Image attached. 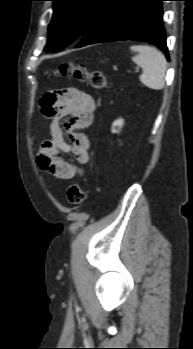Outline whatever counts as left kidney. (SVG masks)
<instances>
[{
	"label": "left kidney",
	"instance_id": "left-kidney-1",
	"mask_svg": "<svg viewBox=\"0 0 193 349\" xmlns=\"http://www.w3.org/2000/svg\"><path fill=\"white\" fill-rule=\"evenodd\" d=\"M123 124L124 121L122 119L114 121L112 124V133H118L121 130Z\"/></svg>",
	"mask_w": 193,
	"mask_h": 349
}]
</instances>
